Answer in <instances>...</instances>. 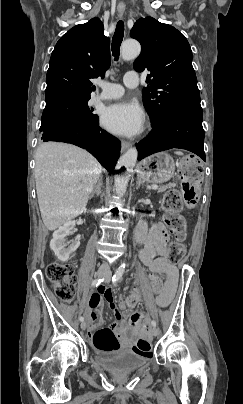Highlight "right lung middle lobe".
Here are the masks:
<instances>
[{
	"mask_svg": "<svg viewBox=\"0 0 243 404\" xmlns=\"http://www.w3.org/2000/svg\"><path fill=\"white\" fill-rule=\"evenodd\" d=\"M89 99L90 96L73 97L46 103L41 118L40 131L42 132L54 122L68 117L98 121L99 117L93 113V108H89L87 105Z\"/></svg>",
	"mask_w": 243,
	"mask_h": 404,
	"instance_id": "right-lung-middle-lobe-1",
	"label": "right lung middle lobe"
}]
</instances>
